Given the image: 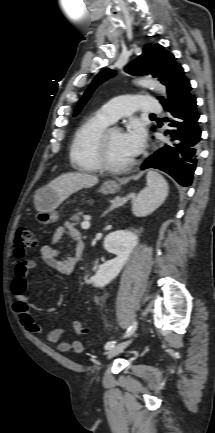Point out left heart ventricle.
Listing matches in <instances>:
<instances>
[{
  "instance_id": "left-heart-ventricle-1",
  "label": "left heart ventricle",
  "mask_w": 215,
  "mask_h": 433,
  "mask_svg": "<svg viewBox=\"0 0 215 433\" xmlns=\"http://www.w3.org/2000/svg\"><path fill=\"white\" fill-rule=\"evenodd\" d=\"M108 155L113 164H124L133 159L126 151L123 141L122 133L118 129H112L108 138Z\"/></svg>"
}]
</instances>
